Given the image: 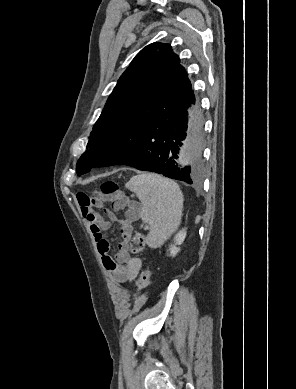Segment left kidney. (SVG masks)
Masks as SVG:
<instances>
[{
    "mask_svg": "<svg viewBox=\"0 0 296 389\" xmlns=\"http://www.w3.org/2000/svg\"><path fill=\"white\" fill-rule=\"evenodd\" d=\"M186 229H182L178 234L174 237V244H170L168 251L170 252V256L174 257L180 251V248L177 245H181L186 237Z\"/></svg>",
    "mask_w": 296,
    "mask_h": 389,
    "instance_id": "5707ae66",
    "label": "left kidney"
}]
</instances>
